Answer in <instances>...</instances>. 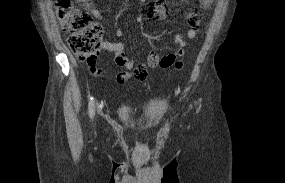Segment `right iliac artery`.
<instances>
[{"label":"right iliac artery","mask_w":285,"mask_h":183,"mask_svg":"<svg viewBox=\"0 0 285 183\" xmlns=\"http://www.w3.org/2000/svg\"><path fill=\"white\" fill-rule=\"evenodd\" d=\"M95 114V108H94V99L91 97L89 101V115L90 118H93Z\"/></svg>","instance_id":"obj_1"}]
</instances>
